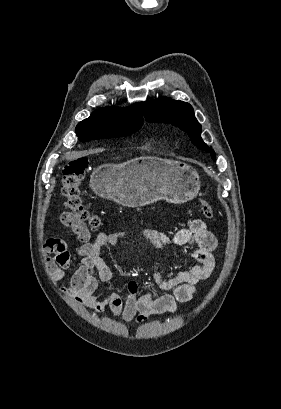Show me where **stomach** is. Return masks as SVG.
<instances>
[{
  "label": "stomach",
  "instance_id": "1",
  "mask_svg": "<svg viewBox=\"0 0 281 409\" xmlns=\"http://www.w3.org/2000/svg\"><path fill=\"white\" fill-rule=\"evenodd\" d=\"M98 196L122 207H145L156 200L182 205L197 196L201 180L193 166L181 160L139 156L121 164H101L90 176Z\"/></svg>",
  "mask_w": 281,
  "mask_h": 409
}]
</instances>
